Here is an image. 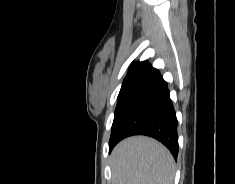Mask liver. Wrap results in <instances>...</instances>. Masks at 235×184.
Returning <instances> with one entry per match:
<instances>
[{
    "label": "liver",
    "mask_w": 235,
    "mask_h": 184,
    "mask_svg": "<svg viewBox=\"0 0 235 184\" xmlns=\"http://www.w3.org/2000/svg\"><path fill=\"white\" fill-rule=\"evenodd\" d=\"M112 184H173L175 162L169 150L147 136L119 142L111 154Z\"/></svg>",
    "instance_id": "6515ba94"
}]
</instances>
